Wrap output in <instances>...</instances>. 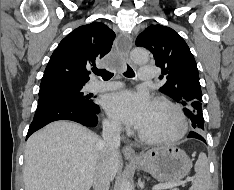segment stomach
Here are the masks:
<instances>
[{
	"label": "stomach",
	"instance_id": "0dacf381",
	"mask_svg": "<svg viewBox=\"0 0 234 190\" xmlns=\"http://www.w3.org/2000/svg\"><path fill=\"white\" fill-rule=\"evenodd\" d=\"M133 163L138 169L150 173L162 182L180 181L192 166L187 154L175 145H161L149 149Z\"/></svg>",
	"mask_w": 234,
	"mask_h": 190
}]
</instances>
